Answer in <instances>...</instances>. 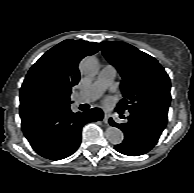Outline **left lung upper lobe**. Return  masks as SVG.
Instances as JSON below:
<instances>
[{
    "mask_svg": "<svg viewBox=\"0 0 194 193\" xmlns=\"http://www.w3.org/2000/svg\"><path fill=\"white\" fill-rule=\"evenodd\" d=\"M102 53L114 65L123 81L121 111L167 113L171 82L164 68L152 56L124 42L104 41Z\"/></svg>",
    "mask_w": 194,
    "mask_h": 193,
    "instance_id": "left-lung-upper-lobe-1",
    "label": "left lung upper lobe"
}]
</instances>
